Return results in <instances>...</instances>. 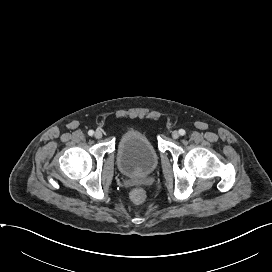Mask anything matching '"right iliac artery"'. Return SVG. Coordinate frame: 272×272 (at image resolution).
Returning <instances> with one entry per match:
<instances>
[{
	"label": "right iliac artery",
	"mask_w": 272,
	"mask_h": 272,
	"mask_svg": "<svg viewBox=\"0 0 272 272\" xmlns=\"http://www.w3.org/2000/svg\"><path fill=\"white\" fill-rule=\"evenodd\" d=\"M93 134H94V131H93V130H89V131H88V135H89V136H93Z\"/></svg>",
	"instance_id": "1"
}]
</instances>
